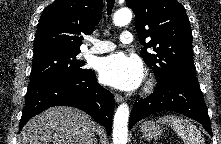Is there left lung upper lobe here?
Returning a JSON list of instances; mask_svg holds the SVG:
<instances>
[{
    "label": "left lung upper lobe",
    "mask_w": 221,
    "mask_h": 144,
    "mask_svg": "<svg viewBox=\"0 0 221 144\" xmlns=\"http://www.w3.org/2000/svg\"><path fill=\"white\" fill-rule=\"evenodd\" d=\"M126 4L135 13L136 31L144 45L141 56L157 82L179 78L198 83L192 32L182 4L176 0H126Z\"/></svg>",
    "instance_id": "left-lung-upper-lobe-1"
}]
</instances>
